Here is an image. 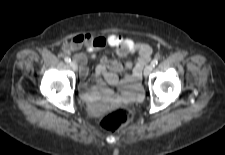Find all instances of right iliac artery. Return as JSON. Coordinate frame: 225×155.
<instances>
[{"instance_id": "obj_1", "label": "right iliac artery", "mask_w": 225, "mask_h": 155, "mask_svg": "<svg viewBox=\"0 0 225 155\" xmlns=\"http://www.w3.org/2000/svg\"><path fill=\"white\" fill-rule=\"evenodd\" d=\"M64 60H65V62H67V63H70V62H71L70 57H65Z\"/></svg>"}]
</instances>
